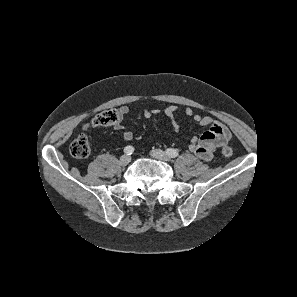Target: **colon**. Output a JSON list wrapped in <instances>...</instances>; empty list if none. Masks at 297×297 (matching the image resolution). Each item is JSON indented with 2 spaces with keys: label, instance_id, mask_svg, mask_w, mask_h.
I'll return each instance as SVG.
<instances>
[{
  "label": "colon",
  "instance_id": "obj_1",
  "mask_svg": "<svg viewBox=\"0 0 297 297\" xmlns=\"http://www.w3.org/2000/svg\"><path fill=\"white\" fill-rule=\"evenodd\" d=\"M120 120L119 111L111 109L103 111L97 114L92 122L85 126V129L94 126H111L116 124ZM91 148L88 138L85 135H79L70 144V153L74 158L84 159L90 154ZM221 155L223 158H229L232 155V148L228 145H224L221 148Z\"/></svg>",
  "mask_w": 297,
  "mask_h": 297
}]
</instances>
